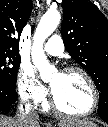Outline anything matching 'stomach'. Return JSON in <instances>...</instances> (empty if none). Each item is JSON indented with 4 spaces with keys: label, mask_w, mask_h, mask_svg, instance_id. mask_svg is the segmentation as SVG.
<instances>
[{
    "label": "stomach",
    "mask_w": 108,
    "mask_h": 127,
    "mask_svg": "<svg viewBox=\"0 0 108 127\" xmlns=\"http://www.w3.org/2000/svg\"><path fill=\"white\" fill-rule=\"evenodd\" d=\"M68 127H97V125L95 124L94 126L87 125V126H68Z\"/></svg>",
    "instance_id": "0dacf381"
}]
</instances>
